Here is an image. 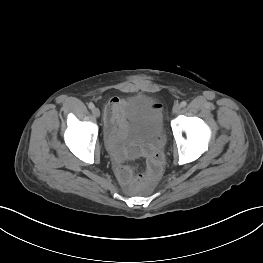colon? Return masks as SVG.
I'll list each match as a JSON object with an SVG mask.
<instances>
[{"label": "colon", "mask_w": 263, "mask_h": 263, "mask_svg": "<svg viewBox=\"0 0 263 263\" xmlns=\"http://www.w3.org/2000/svg\"><path fill=\"white\" fill-rule=\"evenodd\" d=\"M161 171V161L159 160H155L152 161L149 165H148V169L146 171V173L140 175L137 179H136V183L138 186H147L150 183H152L153 181H155Z\"/></svg>", "instance_id": "obj_1"}]
</instances>
